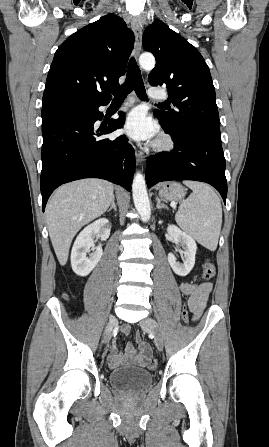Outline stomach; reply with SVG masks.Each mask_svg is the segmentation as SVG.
<instances>
[{"label": "stomach", "mask_w": 269, "mask_h": 447, "mask_svg": "<svg viewBox=\"0 0 269 447\" xmlns=\"http://www.w3.org/2000/svg\"><path fill=\"white\" fill-rule=\"evenodd\" d=\"M160 198L163 200H171V202H179L185 196V190L178 182H164L157 186Z\"/></svg>", "instance_id": "0dacf381"}]
</instances>
